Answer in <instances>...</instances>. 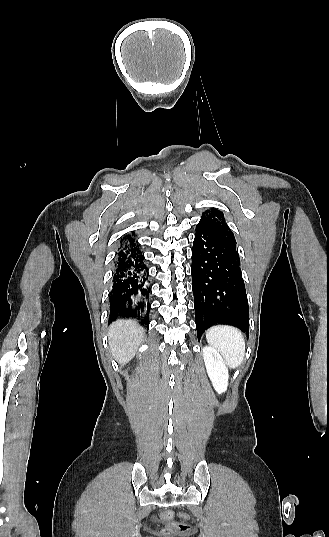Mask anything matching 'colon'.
Wrapping results in <instances>:
<instances>
[{"label": "colon", "mask_w": 329, "mask_h": 537, "mask_svg": "<svg viewBox=\"0 0 329 537\" xmlns=\"http://www.w3.org/2000/svg\"><path fill=\"white\" fill-rule=\"evenodd\" d=\"M173 516H174V513L170 509L164 510L162 512V517L164 519L170 520L173 518ZM182 516L184 517V514H182ZM167 529L172 532L187 533L192 529V526L185 522H170L168 524Z\"/></svg>", "instance_id": "colon-1"}]
</instances>
